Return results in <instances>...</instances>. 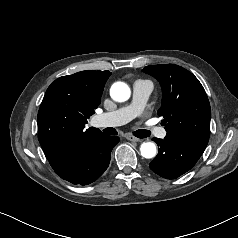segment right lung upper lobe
Here are the masks:
<instances>
[{"label":"right lung upper lobe","instance_id":"obj_1","mask_svg":"<svg viewBox=\"0 0 238 238\" xmlns=\"http://www.w3.org/2000/svg\"><path fill=\"white\" fill-rule=\"evenodd\" d=\"M109 71H81L56 79L48 87L38 112V139L45 156L54 160L96 128L85 129L87 118L101 102Z\"/></svg>","mask_w":238,"mask_h":238}]
</instances>
